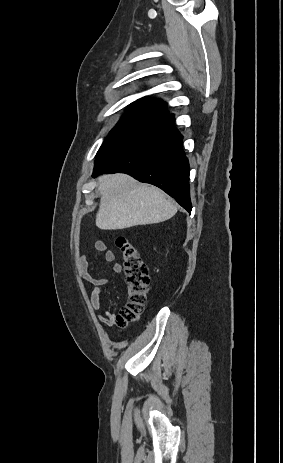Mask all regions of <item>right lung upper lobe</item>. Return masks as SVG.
<instances>
[{
	"instance_id": "right-lung-upper-lobe-1",
	"label": "right lung upper lobe",
	"mask_w": 283,
	"mask_h": 463,
	"mask_svg": "<svg viewBox=\"0 0 283 463\" xmlns=\"http://www.w3.org/2000/svg\"><path fill=\"white\" fill-rule=\"evenodd\" d=\"M137 102L138 103L135 104H139L147 108L159 111L162 115L167 114L166 104L159 99L144 97L142 99L137 100Z\"/></svg>"
}]
</instances>
